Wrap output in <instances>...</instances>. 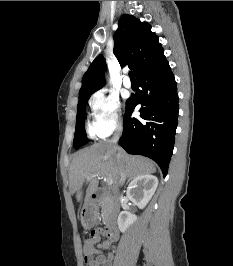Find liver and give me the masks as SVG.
I'll return each instance as SVG.
<instances>
[{
    "mask_svg": "<svg viewBox=\"0 0 233 266\" xmlns=\"http://www.w3.org/2000/svg\"><path fill=\"white\" fill-rule=\"evenodd\" d=\"M120 157L117 158V153ZM124 172L128 180L140 175L156 172L155 164L144 157L132 156L123 149L117 148L111 142L95 143L89 148L78 152L70 166V191L76 194L77 201L82 198V186L85 181L89 182L86 190V200L98 188V179L90 175L100 174L101 176L113 179L114 188L121 184V173Z\"/></svg>",
    "mask_w": 233,
    "mask_h": 266,
    "instance_id": "obj_1",
    "label": "liver"
}]
</instances>
